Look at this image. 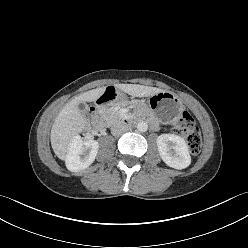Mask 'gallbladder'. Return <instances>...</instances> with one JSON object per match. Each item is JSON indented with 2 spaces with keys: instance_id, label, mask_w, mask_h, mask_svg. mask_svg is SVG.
<instances>
[{
  "instance_id": "1",
  "label": "gallbladder",
  "mask_w": 248,
  "mask_h": 248,
  "mask_svg": "<svg viewBox=\"0 0 248 248\" xmlns=\"http://www.w3.org/2000/svg\"><path fill=\"white\" fill-rule=\"evenodd\" d=\"M78 107H79V109H80L82 112H84V111L86 110V104H85V103H80V104L78 105Z\"/></svg>"
}]
</instances>
